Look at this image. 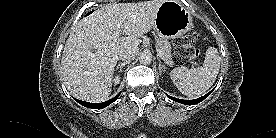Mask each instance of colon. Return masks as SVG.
Returning a JSON list of instances; mask_svg holds the SVG:
<instances>
[{"label": "colon", "instance_id": "5ec220e1", "mask_svg": "<svg viewBox=\"0 0 276 138\" xmlns=\"http://www.w3.org/2000/svg\"><path fill=\"white\" fill-rule=\"evenodd\" d=\"M198 39V34H190L175 42L174 59L177 63L182 64L199 57L200 50L195 47Z\"/></svg>", "mask_w": 276, "mask_h": 138}]
</instances>
